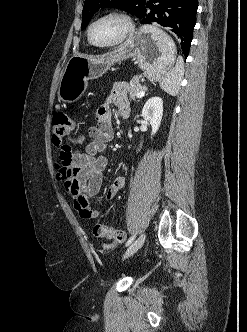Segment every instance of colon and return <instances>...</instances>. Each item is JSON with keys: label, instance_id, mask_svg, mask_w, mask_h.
<instances>
[{"label": "colon", "instance_id": "5ec220e1", "mask_svg": "<svg viewBox=\"0 0 247 332\" xmlns=\"http://www.w3.org/2000/svg\"><path fill=\"white\" fill-rule=\"evenodd\" d=\"M74 128L73 118L64 112H58L53 117V135L52 141L54 145L65 147L68 146L66 142L70 139ZM95 236L111 240L116 243L124 241L126 235L124 231L114 229L107 225L98 224L94 227Z\"/></svg>", "mask_w": 247, "mask_h": 332}]
</instances>
